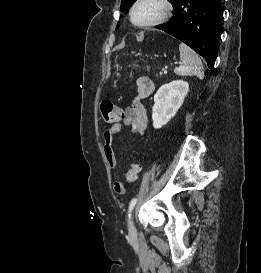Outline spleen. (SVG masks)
Wrapping results in <instances>:
<instances>
[{
	"label": "spleen",
	"instance_id": "spleen-1",
	"mask_svg": "<svg viewBox=\"0 0 261 273\" xmlns=\"http://www.w3.org/2000/svg\"><path fill=\"white\" fill-rule=\"evenodd\" d=\"M180 60L181 65L176 67L174 72L178 76H197L199 79L204 78V68L199 56L186 44L180 43Z\"/></svg>",
	"mask_w": 261,
	"mask_h": 273
}]
</instances>
